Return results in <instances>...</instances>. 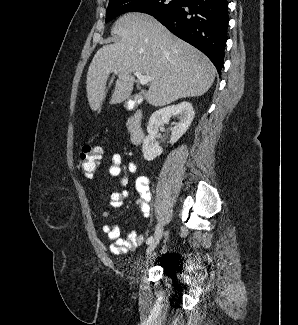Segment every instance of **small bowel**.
Segmentation results:
<instances>
[{"label":"small bowel","mask_w":298,"mask_h":325,"mask_svg":"<svg viewBox=\"0 0 298 325\" xmlns=\"http://www.w3.org/2000/svg\"><path fill=\"white\" fill-rule=\"evenodd\" d=\"M138 165L131 160H126L121 153H113L111 156V165L108 167V174L110 177L122 176L120 180L121 188L119 191L113 192L110 197V206L112 208H120L123 201L129 195V185L134 184L139 199L136 205L141 210L145 218L150 217L152 201V193L150 188V181L147 176L137 175ZM102 217L110 215V209L104 208L101 211ZM102 231L110 240L109 250L115 255L127 253L140 246L144 240L142 234H137L131 231L126 238L120 237V229L118 226L106 224L102 227Z\"/></svg>","instance_id":"obj_1"}]
</instances>
